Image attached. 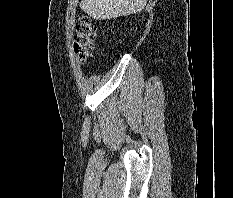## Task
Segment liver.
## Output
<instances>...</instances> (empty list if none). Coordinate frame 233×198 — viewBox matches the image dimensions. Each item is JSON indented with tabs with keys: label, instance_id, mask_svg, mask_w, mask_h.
Listing matches in <instances>:
<instances>
[{
	"label": "liver",
	"instance_id": "obj_1",
	"mask_svg": "<svg viewBox=\"0 0 233 198\" xmlns=\"http://www.w3.org/2000/svg\"><path fill=\"white\" fill-rule=\"evenodd\" d=\"M147 0H82L81 9L96 20L128 16L142 11Z\"/></svg>",
	"mask_w": 233,
	"mask_h": 198
}]
</instances>
